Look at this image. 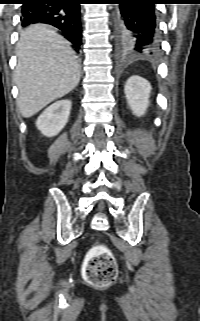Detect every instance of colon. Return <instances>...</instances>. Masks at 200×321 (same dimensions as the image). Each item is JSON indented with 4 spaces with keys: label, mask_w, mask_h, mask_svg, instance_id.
I'll use <instances>...</instances> for the list:
<instances>
[{
    "label": "colon",
    "mask_w": 200,
    "mask_h": 321,
    "mask_svg": "<svg viewBox=\"0 0 200 321\" xmlns=\"http://www.w3.org/2000/svg\"><path fill=\"white\" fill-rule=\"evenodd\" d=\"M116 274V263L110 250L103 245L93 247L84 266L86 280L94 285H106L115 279Z\"/></svg>",
    "instance_id": "colon-1"
}]
</instances>
